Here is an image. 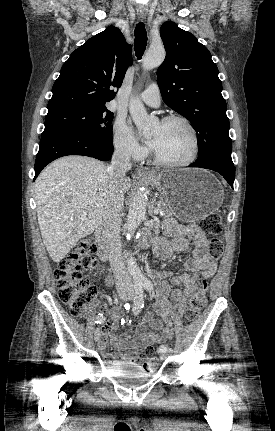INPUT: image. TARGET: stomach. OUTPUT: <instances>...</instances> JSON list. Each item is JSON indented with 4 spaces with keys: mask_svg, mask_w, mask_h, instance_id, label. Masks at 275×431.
<instances>
[{
    "mask_svg": "<svg viewBox=\"0 0 275 431\" xmlns=\"http://www.w3.org/2000/svg\"><path fill=\"white\" fill-rule=\"evenodd\" d=\"M146 180L162 194L173 214L184 222L205 218L223 202L220 182L203 169L161 171Z\"/></svg>",
    "mask_w": 275,
    "mask_h": 431,
    "instance_id": "stomach-1",
    "label": "stomach"
}]
</instances>
